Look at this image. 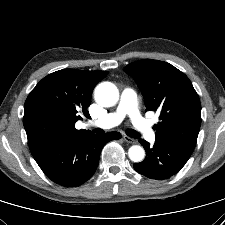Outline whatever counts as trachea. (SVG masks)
I'll return each mask as SVG.
<instances>
[{"instance_id": "trachea-1", "label": "trachea", "mask_w": 225, "mask_h": 225, "mask_svg": "<svg viewBox=\"0 0 225 225\" xmlns=\"http://www.w3.org/2000/svg\"><path fill=\"white\" fill-rule=\"evenodd\" d=\"M95 133L103 134L104 131L101 130V129H95ZM126 134H127L129 137H131V138H140V134H139L137 131L133 130V129H127V130H126Z\"/></svg>"}]
</instances>
